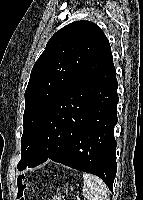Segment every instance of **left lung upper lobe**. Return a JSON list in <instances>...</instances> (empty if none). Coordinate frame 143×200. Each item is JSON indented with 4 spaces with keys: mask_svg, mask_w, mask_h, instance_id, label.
Instances as JSON below:
<instances>
[{
    "mask_svg": "<svg viewBox=\"0 0 143 200\" xmlns=\"http://www.w3.org/2000/svg\"><path fill=\"white\" fill-rule=\"evenodd\" d=\"M107 44L100 27L89 21L73 22L50 38L32 68L25 91L19 170L30 162L42 115Z\"/></svg>",
    "mask_w": 143,
    "mask_h": 200,
    "instance_id": "obj_1",
    "label": "left lung upper lobe"
}]
</instances>
